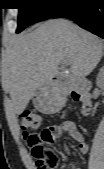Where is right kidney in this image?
Listing matches in <instances>:
<instances>
[{"mask_svg":"<svg viewBox=\"0 0 104 169\" xmlns=\"http://www.w3.org/2000/svg\"><path fill=\"white\" fill-rule=\"evenodd\" d=\"M104 83V68L100 69L97 76V85L102 86Z\"/></svg>","mask_w":104,"mask_h":169,"instance_id":"1","label":"right kidney"}]
</instances>
